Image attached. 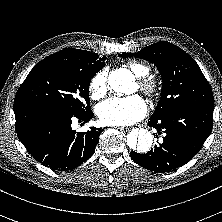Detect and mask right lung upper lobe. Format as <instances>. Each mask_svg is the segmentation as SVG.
<instances>
[{
  "mask_svg": "<svg viewBox=\"0 0 222 222\" xmlns=\"http://www.w3.org/2000/svg\"><path fill=\"white\" fill-rule=\"evenodd\" d=\"M64 63V64H102L104 57L99 58L95 53L81 49L67 48L56 52L38 63Z\"/></svg>",
  "mask_w": 222,
  "mask_h": 222,
  "instance_id": "obj_1",
  "label": "right lung upper lobe"
}]
</instances>
